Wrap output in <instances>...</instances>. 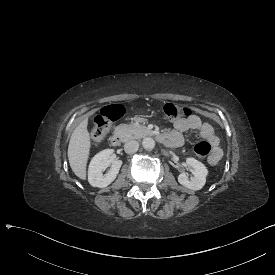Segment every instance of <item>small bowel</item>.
<instances>
[{"instance_id": "1", "label": "small bowel", "mask_w": 275, "mask_h": 275, "mask_svg": "<svg viewBox=\"0 0 275 275\" xmlns=\"http://www.w3.org/2000/svg\"><path fill=\"white\" fill-rule=\"evenodd\" d=\"M175 133L167 134H177L182 140V133L188 130H198L200 137L209 141L213 146V151L210 155L209 162L211 164H216L222 157V150L219 146V139L215 135L214 130L208 123H202L201 119L197 115H191L187 119H179L175 121Z\"/></svg>"}]
</instances>
